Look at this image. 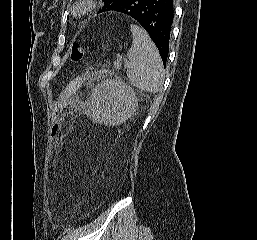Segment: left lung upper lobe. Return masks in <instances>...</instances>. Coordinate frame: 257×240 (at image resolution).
<instances>
[{
	"label": "left lung upper lobe",
	"mask_w": 257,
	"mask_h": 240,
	"mask_svg": "<svg viewBox=\"0 0 257 240\" xmlns=\"http://www.w3.org/2000/svg\"><path fill=\"white\" fill-rule=\"evenodd\" d=\"M104 6L99 12L109 11L123 2V0H103Z\"/></svg>",
	"instance_id": "5c2ea615"
}]
</instances>
